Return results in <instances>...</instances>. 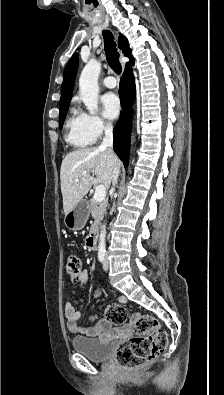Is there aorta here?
Segmentation results:
<instances>
[{
	"label": "aorta",
	"mask_w": 224,
	"mask_h": 395,
	"mask_svg": "<svg viewBox=\"0 0 224 395\" xmlns=\"http://www.w3.org/2000/svg\"><path fill=\"white\" fill-rule=\"evenodd\" d=\"M101 72V63L90 60L82 70L79 79L80 97L90 114H95L98 109V77ZM106 225L104 224L99 236V251L106 248Z\"/></svg>",
	"instance_id": "1"
}]
</instances>
